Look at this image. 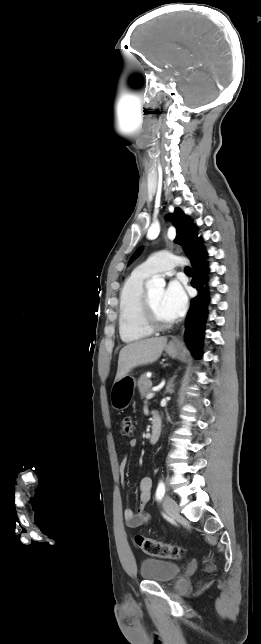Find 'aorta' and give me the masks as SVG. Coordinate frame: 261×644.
<instances>
[{
    "mask_svg": "<svg viewBox=\"0 0 261 644\" xmlns=\"http://www.w3.org/2000/svg\"><path fill=\"white\" fill-rule=\"evenodd\" d=\"M165 280L159 276H154L152 279L148 280L146 283V287L148 289L152 288H163L165 287Z\"/></svg>",
    "mask_w": 261,
    "mask_h": 644,
    "instance_id": "aorta-1",
    "label": "aorta"
}]
</instances>
